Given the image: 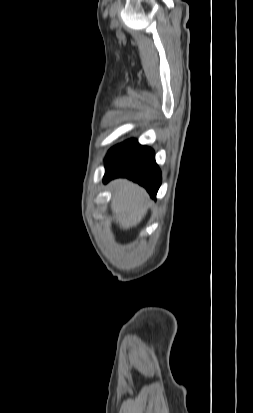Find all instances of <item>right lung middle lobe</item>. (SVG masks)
I'll return each mask as SVG.
<instances>
[{
  "mask_svg": "<svg viewBox=\"0 0 253 413\" xmlns=\"http://www.w3.org/2000/svg\"><path fill=\"white\" fill-rule=\"evenodd\" d=\"M137 141L134 139H130L127 140L121 144L116 145L115 147H113L111 150H109L105 160H108L109 158H111L113 155L121 152L122 150L130 147L131 145H133L134 143H136Z\"/></svg>",
  "mask_w": 253,
  "mask_h": 413,
  "instance_id": "dd1d6c3e",
  "label": "right lung middle lobe"
}]
</instances>
